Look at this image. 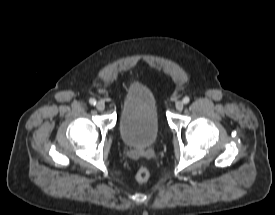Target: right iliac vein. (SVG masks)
Listing matches in <instances>:
<instances>
[{
	"mask_svg": "<svg viewBox=\"0 0 275 215\" xmlns=\"http://www.w3.org/2000/svg\"><path fill=\"white\" fill-rule=\"evenodd\" d=\"M96 108L99 110V111H103L105 109V104L102 102V101H99L97 104H96Z\"/></svg>",
	"mask_w": 275,
	"mask_h": 215,
	"instance_id": "1",
	"label": "right iliac vein"
}]
</instances>
